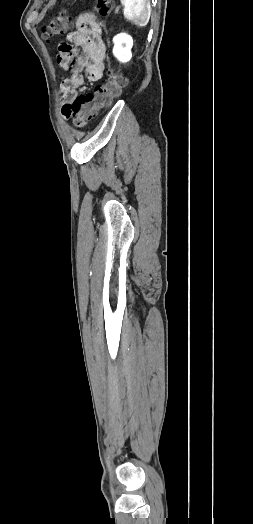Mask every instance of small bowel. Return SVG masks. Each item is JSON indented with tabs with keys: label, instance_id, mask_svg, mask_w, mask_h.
Here are the masks:
<instances>
[{
	"label": "small bowel",
	"instance_id": "small-bowel-1",
	"mask_svg": "<svg viewBox=\"0 0 253 524\" xmlns=\"http://www.w3.org/2000/svg\"><path fill=\"white\" fill-rule=\"evenodd\" d=\"M76 28L63 36L58 46V63L70 71V77L62 84V99L65 103H72L83 90L85 79L98 81L102 78L105 44L100 25L89 14L79 16ZM83 55L76 56L77 49Z\"/></svg>",
	"mask_w": 253,
	"mask_h": 524
}]
</instances>
